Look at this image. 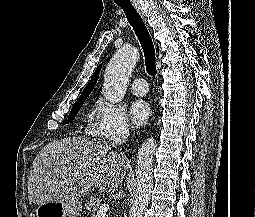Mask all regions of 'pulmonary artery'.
I'll use <instances>...</instances> for the list:
<instances>
[{
    "instance_id": "obj_1",
    "label": "pulmonary artery",
    "mask_w": 255,
    "mask_h": 217,
    "mask_svg": "<svg viewBox=\"0 0 255 217\" xmlns=\"http://www.w3.org/2000/svg\"><path fill=\"white\" fill-rule=\"evenodd\" d=\"M131 92L136 96H143L148 92V85L144 78H136L130 87Z\"/></svg>"
}]
</instances>
